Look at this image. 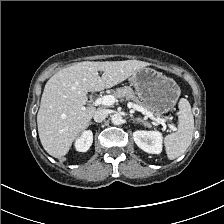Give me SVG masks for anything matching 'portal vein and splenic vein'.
<instances>
[{
  "instance_id": "obj_1",
  "label": "portal vein and splenic vein",
  "mask_w": 224,
  "mask_h": 224,
  "mask_svg": "<svg viewBox=\"0 0 224 224\" xmlns=\"http://www.w3.org/2000/svg\"><path fill=\"white\" fill-rule=\"evenodd\" d=\"M116 102V98L113 95H105L102 97L97 98L94 102L93 105L94 106H99V105H104V106H110L113 105ZM128 108H133L136 111L141 112L142 114L146 115L147 117L151 118L152 120H154L156 123L158 124H162L165 125L166 120L162 119V118H156L152 115L151 112H149L147 109L140 107L132 102H128L127 104ZM172 129H174V127L172 126Z\"/></svg>"
}]
</instances>
